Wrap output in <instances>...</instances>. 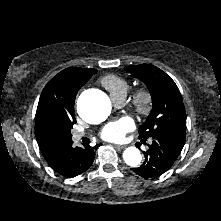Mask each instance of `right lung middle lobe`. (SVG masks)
Returning <instances> with one entry per match:
<instances>
[{
    "label": "right lung middle lobe",
    "instance_id": "obj_1",
    "mask_svg": "<svg viewBox=\"0 0 221 221\" xmlns=\"http://www.w3.org/2000/svg\"><path fill=\"white\" fill-rule=\"evenodd\" d=\"M76 121H74V122H68L67 124H66V126H65V129H66V132L68 133V135H70L71 136V133H70V130H71V128H72V125L75 123Z\"/></svg>",
    "mask_w": 221,
    "mask_h": 221
}]
</instances>
